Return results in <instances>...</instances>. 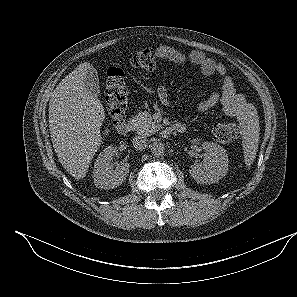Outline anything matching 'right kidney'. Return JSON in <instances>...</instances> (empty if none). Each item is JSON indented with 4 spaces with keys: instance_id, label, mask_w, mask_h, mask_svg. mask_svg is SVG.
Segmentation results:
<instances>
[{
    "instance_id": "1",
    "label": "right kidney",
    "mask_w": 297,
    "mask_h": 297,
    "mask_svg": "<svg viewBox=\"0 0 297 297\" xmlns=\"http://www.w3.org/2000/svg\"><path fill=\"white\" fill-rule=\"evenodd\" d=\"M117 153L114 146L106 147L94 164V184L101 189H112L124 182L129 173V163L121 162L115 170L111 163L112 156Z\"/></svg>"
}]
</instances>
